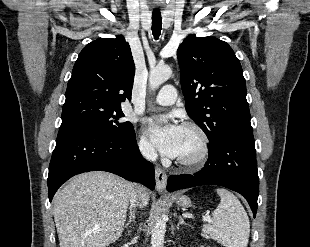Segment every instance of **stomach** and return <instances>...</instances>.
Listing matches in <instances>:
<instances>
[{
  "label": "stomach",
  "instance_id": "1",
  "mask_svg": "<svg viewBox=\"0 0 310 247\" xmlns=\"http://www.w3.org/2000/svg\"><path fill=\"white\" fill-rule=\"evenodd\" d=\"M176 203L182 208H187L188 206H190L191 200L189 197L182 195L176 198Z\"/></svg>",
  "mask_w": 310,
  "mask_h": 247
}]
</instances>
